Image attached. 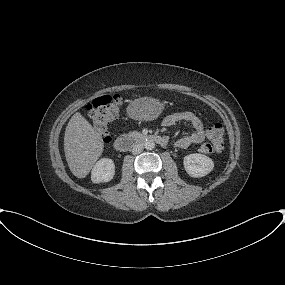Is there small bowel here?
I'll list each match as a JSON object with an SVG mask.
<instances>
[{"label":"small bowel","mask_w":285,"mask_h":285,"mask_svg":"<svg viewBox=\"0 0 285 285\" xmlns=\"http://www.w3.org/2000/svg\"><path fill=\"white\" fill-rule=\"evenodd\" d=\"M181 122L189 124L193 131L178 138L175 142L176 147L185 149L191 145L203 142L208 137V130L205 129L203 122L190 111L173 113L164 119L163 124L165 126H173Z\"/></svg>","instance_id":"c3829d8e"}]
</instances>
